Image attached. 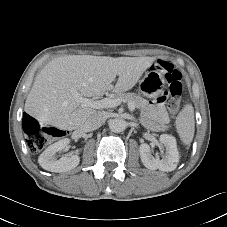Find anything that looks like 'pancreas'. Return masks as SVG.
<instances>
[{"label":"pancreas","mask_w":227,"mask_h":227,"mask_svg":"<svg viewBox=\"0 0 227 227\" xmlns=\"http://www.w3.org/2000/svg\"><path fill=\"white\" fill-rule=\"evenodd\" d=\"M117 98L121 99L122 102L124 103H133L136 108L140 109L141 115L139 118L140 123L142 124L143 127L146 129H149L151 131H165L169 128L167 125H159L157 123L149 121L143 111L146 106L147 101L142 98L141 96L134 94V93H118Z\"/></svg>","instance_id":"1"}]
</instances>
